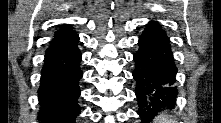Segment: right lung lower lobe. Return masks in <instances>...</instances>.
Wrapping results in <instances>:
<instances>
[{
  "instance_id": "98d812e1",
  "label": "right lung lower lobe",
  "mask_w": 221,
  "mask_h": 123,
  "mask_svg": "<svg viewBox=\"0 0 221 123\" xmlns=\"http://www.w3.org/2000/svg\"><path fill=\"white\" fill-rule=\"evenodd\" d=\"M78 35L54 38L46 50L38 90L41 109L38 118L43 123H75L80 114L78 97L81 52Z\"/></svg>"
}]
</instances>
